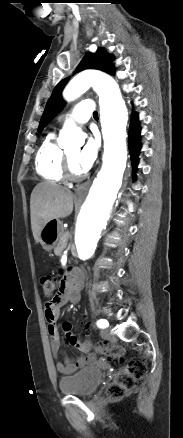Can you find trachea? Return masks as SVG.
<instances>
[{
    "label": "trachea",
    "instance_id": "obj_1",
    "mask_svg": "<svg viewBox=\"0 0 183 438\" xmlns=\"http://www.w3.org/2000/svg\"><path fill=\"white\" fill-rule=\"evenodd\" d=\"M93 117H94L95 119H98V113H97L96 111L93 113Z\"/></svg>",
    "mask_w": 183,
    "mask_h": 438
}]
</instances>
